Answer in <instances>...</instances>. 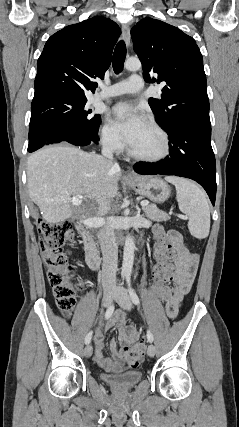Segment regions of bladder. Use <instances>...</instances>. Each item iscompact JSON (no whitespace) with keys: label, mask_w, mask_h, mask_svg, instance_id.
<instances>
[{"label":"bladder","mask_w":239,"mask_h":427,"mask_svg":"<svg viewBox=\"0 0 239 427\" xmlns=\"http://www.w3.org/2000/svg\"><path fill=\"white\" fill-rule=\"evenodd\" d=\"M101 380L117 389H128L136 385L142 378L140 370H125L113 374L102 373Z\"/></svg>","instance_id":"1"}]
</instances>
